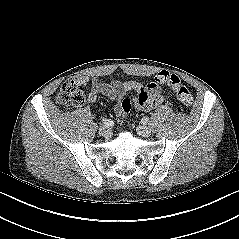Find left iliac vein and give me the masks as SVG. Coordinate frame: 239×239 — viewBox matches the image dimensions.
<instances>
[{"label": "left iliac vein", "instance_id": "4c4485c4", "mask_svg": "<svg viewBox=\"0 0 239 239\" xmlns=\"http://www.w3.org/2000/svg\"><path fill=\"white\" fill-rule=\"evenodd\" d=\"M137 132L139 135H141L143 137H149L151 135V130L147 126H138Z\"/></svg>", "mask_w": 239, "mask_h": 239}]
</instances>
